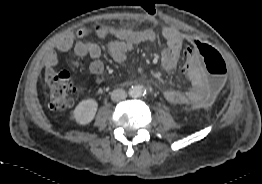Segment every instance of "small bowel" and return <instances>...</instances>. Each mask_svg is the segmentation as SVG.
<instances>
[{"label": "small bowel", "mask_w": 262, "mask_h": 184, "mask_svg": "<svg viewBox=\"0 0 262 184\" xmlns=\"http://www.w3.org/2000/svg\"><path fill=\"white\" fill-rule=\"evenodd\" d=\"M92 33L100 38L108 35H113L116 38L109 43L108 52L111 58L119 64L126 62L128 53L135 46L145 42H155L157 39L156 33L151 29L133 30L108 25H97L92 29L81 27L75 34L67 33L56 41L57 51H52L45 57L46 72L51 73L57 65L58 53L73 49L78 57H89L91 59L89 68L93 75H101L104 71L101 48L90 41H75L76 37L86 38ZM162 36L166 42V47L161 54V65L165 70H172L177 66L185 41L192 40L196 44L200 43L195 37L188 36L173 27L163 29ZM182 56L186 59V63L181 67L182 75L186 82L192 84V86L185 92L167 90L164 97L172 105L190 106L194 109L205 108L212 102L213 90L206 84L204 65L196 57L193 48L184 50ZM98 82L100 83L101 80L99 79Z\"/></svg>", "instance_id": "small-bowel-1"}]
</instances>
